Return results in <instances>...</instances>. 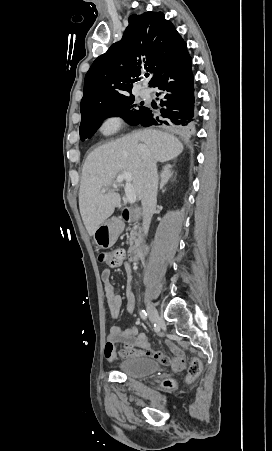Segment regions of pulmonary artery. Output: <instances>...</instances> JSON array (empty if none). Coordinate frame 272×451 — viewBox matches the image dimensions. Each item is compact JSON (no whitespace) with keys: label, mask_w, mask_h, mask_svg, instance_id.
I'll use <instances>...</instances> for the list:
<instances>
[{"label":"pulmonary artery","mask_w":272,"mask_h":451,"mask_svg":"<svg viewBox=\"0 0 272 451\" xmlns=\"http://www.w3.org/2000/svg\"><path fill=\"white\" fill-rule=\"evenodd\" d=\"M139 96L144 100H148L151 98V93L147 90H141L139 92Z\"/></svg>","instance_id":"pulmonary-artery-1"}]
</instances>
